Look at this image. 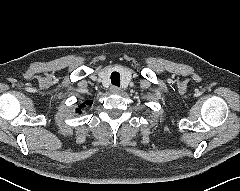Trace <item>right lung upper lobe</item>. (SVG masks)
<instances>
[{"instance_id": "cb5924a9", "label": "right lung upper lobe", "mask_w": 240, "mask_h": 191, "mask_svg": "<svg viewBox=\"0 0 240 191\" xmlns=\"http://www.w3.org/2000/svg\"><path fill=\"white\" fill-rule=\"evenodd\" d=\"M91 104H92V101H86L85 103H83V104L80 105V108H83V107H85L86 105L91 106ZM80 108L76 110L77 113H81V109H80Z\"/></svg>"}]
</instances>
